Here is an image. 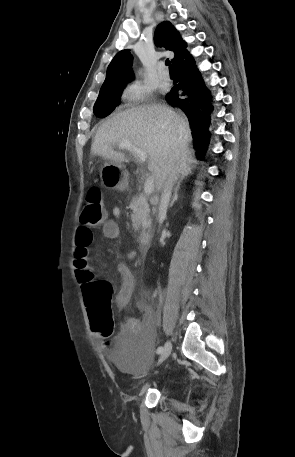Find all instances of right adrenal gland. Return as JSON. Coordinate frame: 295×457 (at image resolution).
I'll list each match as a JSON object with an SVG mask.
<instances>
[{"instance_id": "right-adrenal-gland-1", "label": "right adrenal gland", "mask_w": 295, "mask_h": 457, "mask_svg": "<svg viewBox=\"0 0 295 457\" xmlns=\"http://www.w3.org/2000/svg\"><path fill=\"white\" fill-rule=\"evenodd\" d=\"M184 177L181 176L180 179L177 181L176 183V187L174 189V194H173V197L170 201V204H169V207H172L173 204L175 203V201L178 199V190L180 188V185H181V182L183 181Z\"/></svg>"}]
</instances>
